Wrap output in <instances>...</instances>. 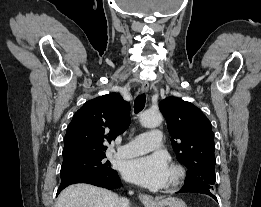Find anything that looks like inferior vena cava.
Wrapping results in <instances>:
<instances>
[{"label": "inferior vena cava", "mask_w": 261, "mask_h": 207, "mask_svg": "<svg viewBox=\"0 0 261 207\" xmlns=\"http://www.w3.org/2000/svg\"><path fill=\"white\" fill-rule=\"evenodd\" d=\"M130 194H132V192H130ZM118 207H130L129 200L126 198H121Z\"/></svg>", "instance_id": "602c4592"}]
</instances>
